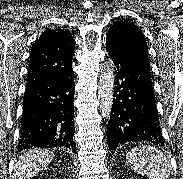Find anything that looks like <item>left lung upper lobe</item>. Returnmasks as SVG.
<instances>
[{
	"label": "left lung upper lobe",
	"instance_id": "5c2ea615",
	"mask_svg": "<svg viewBox=\"0 0 183 179\" xmlns=\"http://www.w3.org/2000/svg\"><path fill=\"white\" fill-rule=\"evenodd\" d=\"M109 35L116 37L128 48L143 56L149 64L148 49L144 35L133 22L126 19L114 22L108 31L107 36Z\"/></svg>",
	"mask_w": 183,
	"mask_h": 179
}]
</instances>
